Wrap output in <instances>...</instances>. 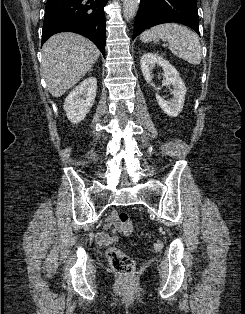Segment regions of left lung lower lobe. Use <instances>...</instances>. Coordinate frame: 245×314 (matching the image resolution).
<instances>
[{
    "mask_svg": "<svg viewBox=\"0 0 245 314\" xmlns=\"http://www.w3.org/2000/svg\"><path fill=\"white\" fill-rule=\"evenodd\" d=\"M170 22L184 24L199 34L196 0H140L133 39L149 27Z\"/></svg>",
    "mask_w": 245,
    "mask_h": 314,
    "instance_id": "1",
    "label": "left lung lower lobe"
}]
</instances>
